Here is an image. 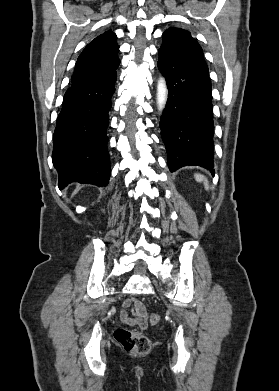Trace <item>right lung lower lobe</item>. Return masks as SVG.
<instances>
[{
    "mask_svg": "<svg viewBox=\"0 0 279 391\" xmlns=\"http://www.w3.org/2000/svg\"><path fill=\"white\" fill-rule=\"evenodd\" d=\"M116 78L114 72L66 91L53 138L52 160L59 189L72 182L108 184L111 169L106 129Z\"/></svg>",
    "mask_w": 279,
    "mask_h": 391,
    "instance_id": "obj_1",
    "label": "right lung lower lobe"
}]
</instances>
